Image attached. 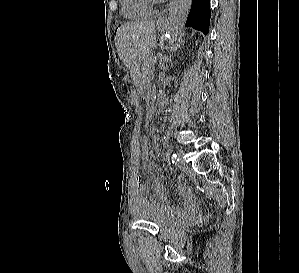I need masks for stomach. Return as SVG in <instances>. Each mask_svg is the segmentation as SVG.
Returning a JSON list of instances; mask_svg holds the SVG:
<instances>
[{
  "label": "stomach",
  "mask_w": 299,
  "mask_h": 273,
  "mask_svg": "<svg viewBox=\"0 0 299 273\" xmlns=\"http://www.w3.org/2000/svg\"><path fill=\"white\" fill-rule=\"evenodd\" d=\"M163 28H164L163 26L158 25L159 30H161ZM144 81L145 80H144L143 76H139L136 78V81H135L136 87H137L138 92H140V93H142L144 91V84H145Z\"/></svg>",
  "instance_id": "stomach-1"
}]
</instances>
